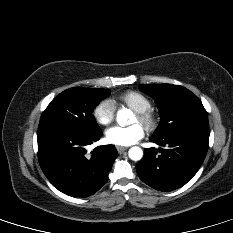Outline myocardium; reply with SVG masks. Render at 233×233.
Returning a JSON list of instances; mask_svg holds the SVG:
<instances>
[{"mask_svg":"<svg viewBox=\"0 0 233 233\" xmlns=\"http://www.w3.org/2000/svg\"><path fill=\"white\" fill-rule=\"evenodd\" d=\"M136 117L138 122L142 124L148 132H153L158 127L159 118L153 110L149 109L142 112H136Z\"/></svg>","mask_w":233,"mask_h":233,"instance_id":"1","label":"myocardium"}]
</instances>
